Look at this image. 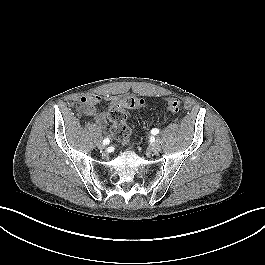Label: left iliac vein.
I'll return each mask as SVG.
<instances>
[{
	"label": "left iliac vein",
	"mask_w": 265,
	"mask_h": 265,
	"mask_svg": "<svg viewBox=\"0 0 265 265\" xmlns=\"http://www.w3.org/2000/svg\"><path fill=\"white\" fill-rule=\"evenodd\" d=\"M151 150L153 152H159L161 150V144L159 140H156L154 143L151 144Z\"/></svg>",
	"instance_id": "obj_1"
}]
</instances>
